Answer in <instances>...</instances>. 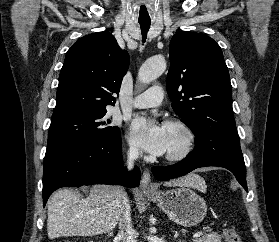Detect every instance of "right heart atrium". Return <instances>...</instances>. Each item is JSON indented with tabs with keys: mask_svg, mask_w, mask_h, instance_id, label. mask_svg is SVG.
Segmentation results:
<instances>
[{
	"mask_svg": "<svg viewBox=\"0 0 279 242\" xmlns=\"http://www.w3.org/2000/svg\"><path fill=\"white\" fill-rule=\"evenodd\" d=\"M127 155L129 157V159L136 160L139 157L140 152L134 144L129 143L128 148H127Z\"/></svg>",
	"mask_w": 279,
	"mask_h": 242,
	"instance_id": "1",
	"label": "right heart atrium"
}]
</instances>
